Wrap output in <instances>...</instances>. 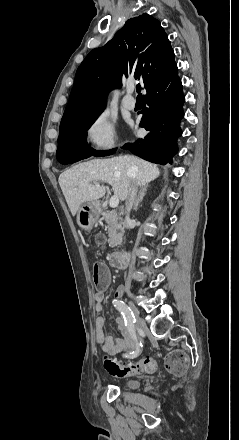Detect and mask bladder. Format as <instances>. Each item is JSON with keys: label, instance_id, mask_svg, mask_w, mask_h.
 <instances>
[{"label": "bladder", "instance_id": "obj_1", "mask_svg": "<svg viewBox=\"0 0 239 440\" xmlns=\"http://www.w3.org/2000/svg\"><path fill=\"white\" fill-rule=\"evenodd\" d=\"M123 385L128 389H137L140 386V382L138 380L129 379L124 381Z\"/></svg>", "mask_w": 239, "mask_h": 440}]
</instances>
